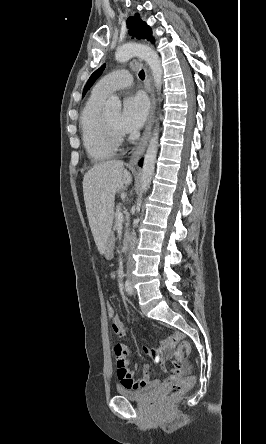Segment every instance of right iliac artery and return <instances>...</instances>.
Here are the masks:
<instances>
[{
    "label": "right iliac artery",
    "instance_id": "82829eb1",
    "mask_svg": "<svg viewBox=\"0 0 266 444\" xmlns=\"http://www.w3.org/2000/svg\"><path fill=\"white\" fill-rule=\"evenodd\" d=\"M125 289L129 295L133 294V288H132V285L129 280H126V282H125Z\"/></svg>",
    "mask_w": 266,
    "mask_h": 444
}]
</instances>
